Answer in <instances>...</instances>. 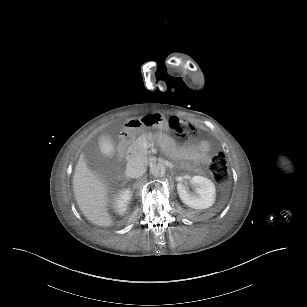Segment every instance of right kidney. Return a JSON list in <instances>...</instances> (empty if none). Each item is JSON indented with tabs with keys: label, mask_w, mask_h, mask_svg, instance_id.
<instances>
[{
	"label": "right kidney",
	"mask_w": 307,
	"mask_h": 307,
	"mask_svg": "<svg viewBox=\"0 0 307 307\" xmlns=\"http://www.w3.org/2000/svg\"><path fill=\"white\" fill-rule=\"evenodd\" d=\"M130 198V191L127 190L122 193V195L118 198L116 201V210L119 214H122L123 212L126 211V206L128 204Z\"/></svg>",
	"instance_id": "right-kidney-1"
}]
</instances>
